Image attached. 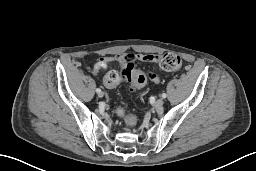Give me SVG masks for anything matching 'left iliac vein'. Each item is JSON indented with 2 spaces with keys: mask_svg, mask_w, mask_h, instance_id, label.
I'll return each instance as SVG.
<instances>
[{
  "mask_svg": "<svg viewBox=\"0 0 256 171\" xmlns=\"http://www.w3.org/2000/svg\"><path fill=\"white\" fill-rule=\"evenodd\" d=\"M163 103H164V101H163V99H158L156 102H155V107L157 108V109H160L162 106H163Z\"/></svg>",
  "mask_w": 256,
  "mask_h": 171,
  "instance_id": "1",
  "label": "left iliac vein"
}]
</instances>
